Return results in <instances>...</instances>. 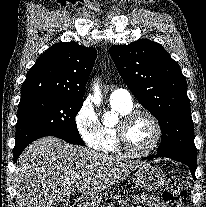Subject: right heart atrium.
<instances>
[{
    "mask_svg": "<svg viewBox=\"0 0 206 207\" xmlns=\"http://www.w3.org/2000/svg\"><path fill=\"white\" fill-rule=\"evenodd\" d=\"M75 126L83 140L90 148L103 150L104 148V132L101 124L90 100H85L74 116Z\"/></svg>",
    "mask_w": 206,
    "mask_h": 207,
    "instance_id": "d8ad5b80",
    "label": "right heart atrium"
}]
</instances>
